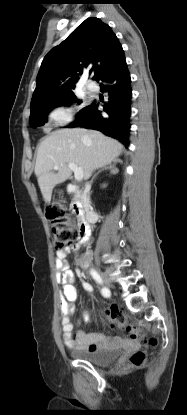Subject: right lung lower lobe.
Returning a JSON list of instances; mask_svg holds the SVG:
<instances>
[{"instance_id": "right-lung-lower-lobe-1", "label": "right lung lower lobe", "mask_w": 187, "mask_h": 415, "mask_svg": "<svg viewBox=\"0 0 187 415\" xmlns=\"http://www.w3.org/2000/svg\"><path fill=\"white\" fill-rule=\"evenodd\" d=\"M95 80L100 82V90L108 93V101L104 103L103 111L99 110V103L93 102L81 109L76 120L68 127L98 130L128 146L132 93L124 52L122 51Z\"/></svg>"}]
</instances>
